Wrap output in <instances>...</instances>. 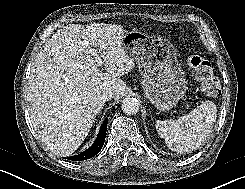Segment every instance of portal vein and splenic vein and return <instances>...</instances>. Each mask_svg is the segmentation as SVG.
Wrapping results in <instances>:
<instances>
[{
  "label": "portal vein and splenic vein",
  "mask_w": 245,
  "mask_h": 189,
  "mask_svg": "<svg viewBox=\"0 0 245 189\" xmlns=\"http://www.w3.org/2000/svg\"><path fill=\"white\" fill-rule=\"evenodd\" d=\"M90 54L95 57V62L98 67H100L103 64V61L101 57L97 54L95 49H90L89 50Z\"/></svg>",
  "instance_id": "portal-vein-and-splenic-vein-1"
}]
</instances>
